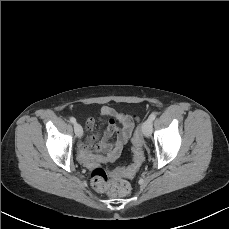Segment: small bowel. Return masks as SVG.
<instances>
[{
    "mask_svg": "<svg viewBox=\"0 0 229 229\" xmlns=\"http://www.w3.org/2000/svg\"><path fill=\"white\" fill-rule=\"evenodd\" d=\"M102 116L109 117L108 128L102 134L89 135L77 145L78 159L89 168H94L115 160L121 153L124 145L128 142L132 130L134 129L136 118L127 113L116 112L109 106H103L100 110ZM116 122L121 124L118 129ZM95 121L88 118L85 123L87 131L93 129ZM116 136L115 142L110 143V139ZM97 148L100 153H93Z\"/></svg>",
    "mask_w": 229,
    "mask_h": 229,
    "instance_id": "small-bowel-1",
    "label": "small bowel"
}]
</instances>
